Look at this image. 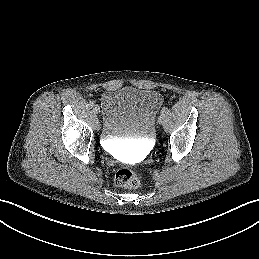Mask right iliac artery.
I'll use <instances>...</instances> for the list:
<instances>
[{"instance_id":"right-iliac-artery-1","label":"right iliac artery","mask_w":259,"mask_h":259,"mask_svg":"<svg viewBox=\"0 0 259 259\" xmlns=\"http://www.w3.org/2000/svg\"><path fill=\"white\" fill-rule=\"evenodd\" d=\"M90 106H91V107H94V106H95V102H94V101H91V102H90Z\"/></svg>"}]
</instances>
